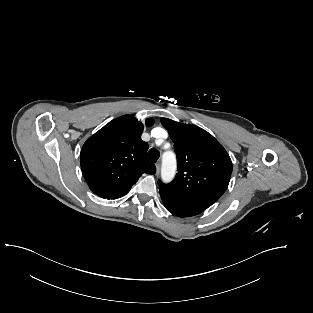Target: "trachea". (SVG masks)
I'll use <instances>...</instances> for the list:
<instances>
[{"label": "trachea", "mask_w": 313, "mask_h": 313, "mask_svg": "<svg viewBox=\"0 0 313 313\" xmlns=\"http://www.w3.org/2000/svg\"><path fill=\"white\" fill-rule=\"evenodd\" d=\"M159 152L157 149L155 148H151L148 152V159L151 161V162H156L159 158Z\"/></svg>", "instance_id": "3493384b"}]
</instances>
